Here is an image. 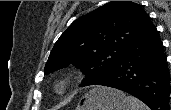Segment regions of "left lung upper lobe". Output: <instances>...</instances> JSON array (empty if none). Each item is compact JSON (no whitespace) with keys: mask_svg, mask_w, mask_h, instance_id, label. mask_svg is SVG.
<instances>
[{"mask_svg":"<svg viewBox=\"0 0 171 110\" xmlns=\"http://www.w3.org/2000/svg\"><path fill=\"white\" fill-rule=\"evenodd\" d=\"M149 16L131 1H111L75 20L55 43L44 72L73 64L95 85L146 30Z\"/></svg>","mask_w":171,"mask_h":110,"instance_id":"5c2ea615","label":"left lung upper lobe"}]
</instances>
